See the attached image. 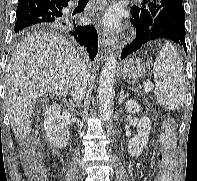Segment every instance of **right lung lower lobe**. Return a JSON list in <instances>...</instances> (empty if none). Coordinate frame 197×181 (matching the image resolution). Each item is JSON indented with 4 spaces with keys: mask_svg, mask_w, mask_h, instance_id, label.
Listing matches in <instances>:
<instances>
[{
    "mask_svg": "<svg viewBox=\"0 0 197 181\" xmlns=\"http://www.w3.org/2000/svg\"><path fill=\"white\" fill-rule=\"evenodd\" d=\"M69 0H19L15 32L26 27L41 25L69 32L94 58L98 51V35L94 26H80L64 17L63 9Z\"/></svg>",
    "mask_w": 197,
    "mask_h": 181,
    "instance_id": "obj_1",
    "label": "right lung lower lobe"
}]
</instances>
